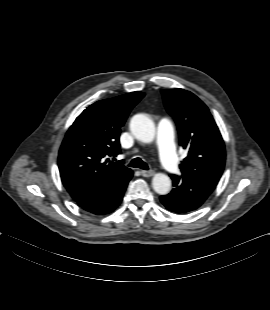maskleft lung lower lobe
I'll return each instance as SVG.
<instances>
[{"instance_id": "1", "label": "left lung lower lobe", "mask_w": 270, "mask_h": 310, "mask_svg": "<svg viewBox=\"0 0 270 310\" xmlns=\"http://www.w3.org/2000/svg\"><path fill=\"white\" fill-rule=\"evenodd\" d=\"M174 189L161 196L162 204L170 211L187 213L198 209L214 191L216 185L190 180L186 177L170 175Z\"/></svg>"}]
</instances>
